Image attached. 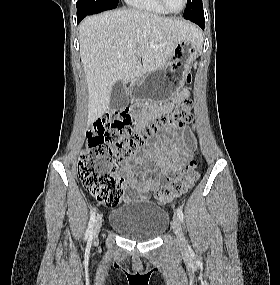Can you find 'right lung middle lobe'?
<instances>
[{
	"label": "right lung middle lobe",
	"instance_id": "obj_1",
	"mask_svg": "<svg viewBox=\"0 0 280 285\" xmlns=\"http://www.w3.org/2000/svg\"><path fill=\"white\" fill-rule=\"evenodd\" d=\"M118 2L119 0H78L76 4L77 17H86L90 14L114 9Z\"/></svg>",
	"mask_w": 280,
	"mask_h": 285
}]
</instances>
